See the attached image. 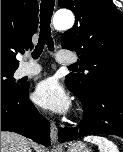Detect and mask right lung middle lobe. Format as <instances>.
Masks as SVG:
<instances>
[{"label":"right lung middle lobe","mask_w":123,"mask_h":152,"mask_svg":"<svg viewBox=\"0 0 123 152\" xmlns=\"http://www.w3.org/2000/svg\"><path fill=\"white\" fill-rule=\"evenodd\" d=\"M16 69L1 68V91L20 89L23 85L15 82L13 73Z\"/></svg>","instance_id":"obj_1"}]
</instances>
